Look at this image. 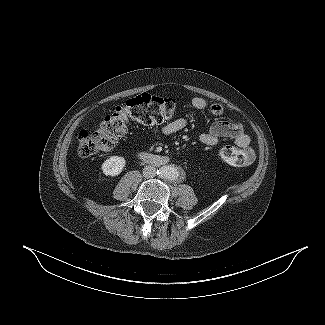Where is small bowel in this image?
<instances>
[{
	"label": "small bowel",
	"instance_id": "c3829d8e",
	"mask_svg": "<svg viewBox=\"0 0 325 325\" xmlns=\"http://www.w3.org/2000/svg\"><path fill=\"white\" fill-rule=\"evenodd\" d=\"M190 106L197 110H208L214 116H220L224 113V107L219 103L210 104L207 100L201 97L191 99ZM188 125V120L184 117L177 118L168 122L161 129L164 135L175 134ZM223 139H232L234 143L245 150L249 156V163L254 158V152L249 147L250 137L244 131L242 124L239 121H216L212 123L207 132H201L198 135V140L205 145H217Z\"/></svg>",
	"mask_w": 325,
	"mask_h": 325
}]
</instances>
